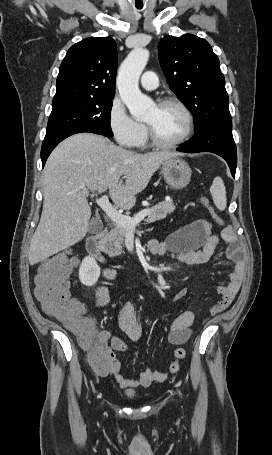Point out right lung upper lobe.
Returning a JSON list of instances; mask_svg holds the SVG:
<instances>
[{"instance_id":"cb5924a9","label":"right lung upper lobe","mask_w":272,"mask_h":455,"mask_svg":"<svg viewBox=\"0 0 272 455\" xmlns=\"http://www.w3.org/2000/svg\"><path fill=\"white\" fill-rule=\"evenodd\" d=\"M117 58L116 43L111 37H90L74 44L60 65L53 101L114 97Z\"/></svg>"}]
</instances>
